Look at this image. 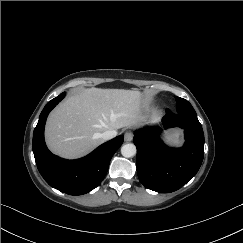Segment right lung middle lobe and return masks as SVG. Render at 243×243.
Segmentation results:
<instances>
[{"label":"right lung middle lobe","instance_id":"dd1d6c3e","mask_svg":"<svg viewBox=\"0 0 243 243\" xmlns=\"http://www.w3.org/2000/svg\"><path fill=\"white\" fill-rule=\"evenodd\" d=\"M60 95H63V96H64V95H65V92H63V93H62V94H60Z\"/></svg>","mask_w":243,"mask_h":243}]
</instances>
